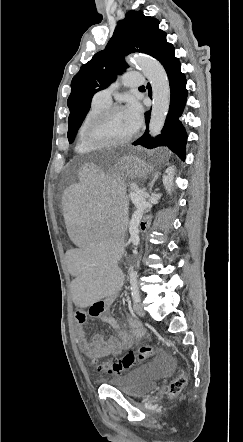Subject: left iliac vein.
Returning <instances> with one entry per match:
<instances>
[{
    "label": "left iliac vein",
    "instance_id": "1",
    "mask_svg": "<svg viewBox=\"0 0 243 442\" xmlns=\"http://www.w3.org/2000/svg\"><path fill=\"white\" fill-rule=\"evenodd\" d=\"M134 311L138 316H144V310L142 305L139 302L134 303Z\"/></svg>",
    "mask_w": 243,
    "mask_h": 442
}]
</instances>
